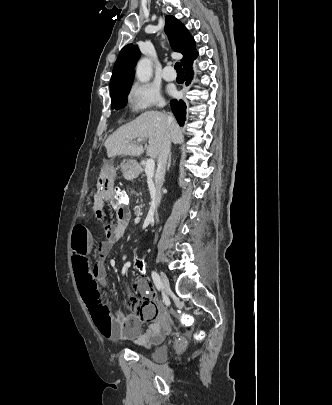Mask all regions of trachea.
I'll list each match as a JSON object with an SVG mask.
<instances>
[{
    "label": "trachea",
    "instance_id": "trachea-1",
    "mask_svg": "<svg viewBox=\"0 0 332 405\" xmlns=\"http://www.w3.org/2000/svg\"><path fill=\"white\" fill-rule=\"evenodd\" d=\"M175 70H176V72H177L178 74L184 73L183 68H182V66H181V63H179V62H177V63L175 64Z\"/></svg>",
    "mask_w": 332,
    "mask_h": 405
}]
</instances>
